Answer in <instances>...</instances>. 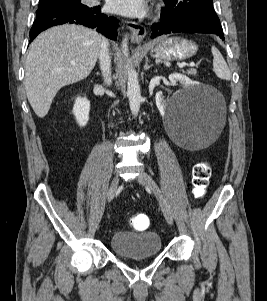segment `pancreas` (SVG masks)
<instances>
[{
  "label": "pancreas",
  "mask_w": 267,
  "mask_h": 301,
  "mask_svg": "<svg viewBox=\"0 0 267 301\" xmlns=\"http://www.w3.org/2000/svg\"><path fill=\"white\" fill-rule=\"evenodd\" d=\"M187 74L188 75L196 76L197 75V71L195 69H191V70L187 71Z\"/></svg>",
  "instance_id": "cf45deb5"
}]
</instances>
